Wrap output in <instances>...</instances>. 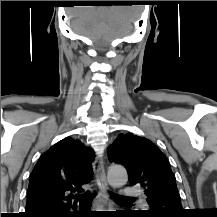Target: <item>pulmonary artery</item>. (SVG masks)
Returning a JSON list of instances; mask_svg holds the SVG:
<instances>
[{"mask_svg":"<svg viewBox=\"0 0 217 217\" xmlns=\"http://www.w3.org/2000/svg\"><path fill=\"white\" fill-rule=\"evenodd\" d=\"M122 192H123V196L129 198L140 196V191L134 187H123Z\"/></svg>","mask_w":217,"mask_h":217,"instance_id":"obj_1","label":"pulmonary artery"}]
</instances>
